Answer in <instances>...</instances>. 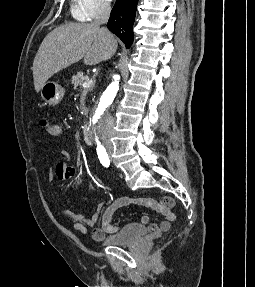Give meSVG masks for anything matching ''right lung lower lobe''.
<instances>
[{"instance_id":"98d812e1","label":"right lung lower lobe","mask_w":255,"mask_h":287,"mask_svg":"<svg viewBox=\"0 0 255 287\" xmlns=\"http://www.w3.org/2000/svg\"><path fill=\"white\" fill-rule=\"evenodd\" d=\"M138 0H117L107 23L108 29L116 34L126 48L133 42V24Z\"/></svg>"}]
</instances>
